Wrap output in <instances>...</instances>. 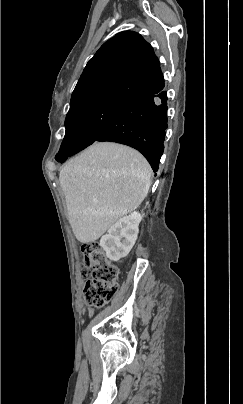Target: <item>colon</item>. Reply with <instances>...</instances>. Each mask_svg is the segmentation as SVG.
Segmentation results:
<instances>
[{
    "label": "colon",
    "mask_w": 243,
    "mask_h": 404,
    "mask_svg": "<svg viewBox=\"0 0 243 404\" xmlns=\"http://www.w3.org/2000/svg\"><path fill=\"white\" fill-rule=\"evenodd\" d=\"M84 254V269L81 276L90 278L84 285V298L93 308H101L109 302L118 291L119 269L106 256L97 242H87L81 247Z\"/></svg>",
    "instance_id": "1"
}]
</instances>
